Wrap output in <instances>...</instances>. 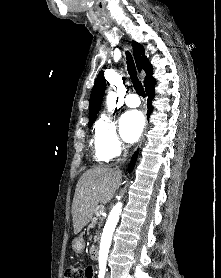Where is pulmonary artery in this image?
<instances>
[{
	"mask_svg": "<svg viewBox=\"0 0 221 278\" xmlns=\"http://www.w3.org/2000/svg\"><path fill=\"white\" fill-rule=\"evenodd\" d=\"M140 103H141V101H140L138 95L135 93H130L125 97V104L128 107L135 108V107H138L140 105Z\"/></svg>",
	"mask_w": 221,
	"mask_h": 278,
	"instance_id": "e3ab8cb5",
	"label": "pulmonary artery"
}]
</instances>
